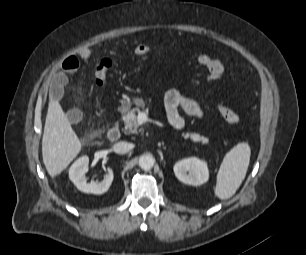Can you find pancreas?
<instances>
[{
  "label": "pancreas",
  "mask_w": 306,
  "mask_h": 255,
  "mask_svg": "<svg viewBox=\"0 0 306 255\" xmlns=\"http://www.w3.org/2000/svg\"><path fill=\"white\" fill-rule=\"evenodd\" d=\"M140 107H144L143 103L138 104ZM124 116V129L123 132L125 134H132L138 132V123L136 113H140L139 107H135L133 109L130 108L129 105L124 106L122 110ZM182 137L184 139H190L192 142H201L202 144H207L209 139L195 132H186L182 133Z\"/></svg>",
  "instance_id": "1"
}]
</instances>
